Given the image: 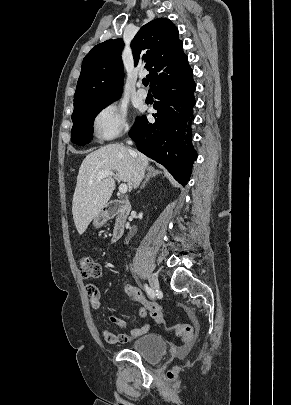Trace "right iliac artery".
I'll return each instance as SVG.
<instances>
[{"instance_id":"82829eb1","label":"right iliac artery","mask_w":291,"mask_h":405,"mask_svg":"<svg viewBox=\"0 0 291 405\" xmlns=\"http://www.w3.org/2000/svg\"><path fill=\"white\" fill-rule=\"evenodd\" d=\"M144 289H145V291L147 292L148 296H149L151 299H154V298H155V293H154V291H153L150 287H148L147 284L144 285Z\"/></svg>"}]
</instances>
